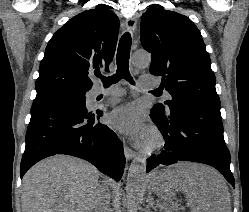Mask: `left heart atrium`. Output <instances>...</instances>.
Listing matches in <instances>:
<instances>
[{
	"instance_id": "obj_1",
	"label": "left heart atrium",
	"mask_w": 249,
	"mask_h": 212,
	"mask_svg": "<svg viewBox=\"0 0 249 212\" xmlns=\"http://www.w3.org/2000/svg\"><path fill=\"white\" fill-rule=\"evenodd\" d=\"M109 125L134 137L140 144L147 140V128L143 123L140 110L135 104L120 106L109 115Z\"/></svg>"
}]
</instances>
